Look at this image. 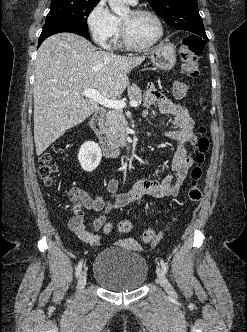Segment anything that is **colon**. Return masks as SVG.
Wrapping results in <instances>:
<instances>
[{
  "instance_id": "obj_1",
  "label": "colon",
  "mask_w": 247,
  "mask_h": 332,
  "mask_svg": "<svg viewBox=\"0 0 247 332\" xmlns=\"http://www.w3.org/2000/svg\"><path fill=\"white\" fill-rule=\"evenodd\" d=\"M205 47V41L197 35H188L183 39L181 46V70L190 77H196L199 73L198 57L201 55ZM191 89V84L186 81H176L173 85V95L177 99H181L187 95ZM202 123V121H200ZM200 137L197 141L198 153L195 157V165L190 173V183L188 189V198L192 202H198L202 197V190L200 181L203 176L202 165L206 159V153L210 147V141L206 136V128L203 124L199 127ZM40 176L43 178L47 186L54 184L57 176V166L54 161V156L50 152H45L41 155L39 161ZM70 196L75 201H79L75 194ZM74 213L76 216L82 214L81 208L78 204L74 206ZM114 225L107 223L104 226V232L109 234L113 231ZM120 233H128L132 229V223L129 220H122L117 225ZM141 239L145 243L155 242L159 239V235L152 228H147L142 233Z\"/></svg>"
}]
</instances>
